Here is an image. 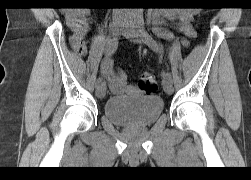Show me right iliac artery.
Returning a JSON list of instances; mask_svg holds the SVG:
<instances>
[{
  "label": "right iliac artery",
  "mask_w": 251,
  "mask_h": 180,
  "mask_svg": "<svg viewBox=\"0 0 251 180\" xmlns=\"http://www.w3.org/2000/svg\"><path fill=\"white\" fill-rule=\"evenodd\" d=\"M133 18L135 17V14H130V18ZM117 47H118V40L117 39H110L108 40L107 44H106V47H105V54H106V59L107 60H110V57L112 56V54L115 53V51L117 50ZM102 82V78L99 77L96 81V87L98 85H100V83Z\"/></svg>",
  "instance_id": "right-iliac-artery-1"
}]
</instances>
